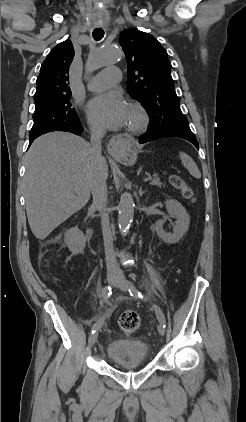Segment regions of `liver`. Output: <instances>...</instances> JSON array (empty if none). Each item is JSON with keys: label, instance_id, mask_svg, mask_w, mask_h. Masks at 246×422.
<instances>
[{"label": "liver", "instance_id": "6515ba94", "mask_svg": "<svg viewBox=\"0 0 246 422\" xmlns=\"http://www.w3.org/2000/svg\"><path fill=\"white\" fill-rule=\"evenodd\" d=\"M91 145L67 132L37 138L26 154L24 189L32 233L44 240L89 201L94 159ZM108 176L105 158L102 164Z\"/></svg>", "mask_w": 246, "mask_h": 422}]
</instances>
